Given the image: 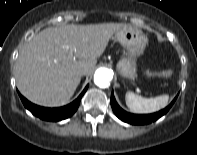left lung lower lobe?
I'll return each instance as SVG.
<instances>
[{"label": "left lung lower lobe", "instance_id": "left-lung-lower-lobe-1", "mask_svg": "<svg viewBox=\"0 0 197 155\" xmlns=\"http://www.w3.org/2000/svg\"><path fill=\"white\" fill-rule=\"evenodd\" d=\"M176 98L171 102V104L169 106H167L166 108H164L163 110H161L159 112L152 113V114H146V115H137V114L128 113V112L124 111L122 108H120V106L117 104V102L114 98L113 92H112L111 106H112L114 113L116 114V116L120 120H122L126 123H129V124H133V125H144V124H149L153 121H156L161 116L165 115L168 112V110L171 108V106L174 104Z\"/></svg>", "mask_w": 197, "mask_h": 155}]
</instances>
